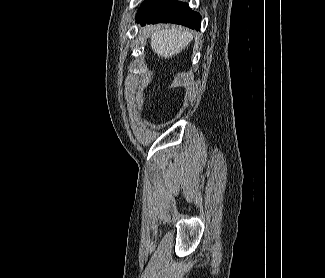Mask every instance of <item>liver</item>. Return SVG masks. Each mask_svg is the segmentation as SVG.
<instances>
[{
  "label": "liver",
  "mask_w": 325,
  "mask_h": 278,
  "mask_svg": "<svg viewBox=\"0 0 325 278\" xmlns=\"http://www.w3.org/2000/svg\"><path fill=\"white\" fill-rule=\"evenodd\" d=\"M151 48L162 58L179 54L192 41V32L187 29L171 27H152Z\"/></svg>",
  "instance_id": "6515ba94"
}]
</instances>
